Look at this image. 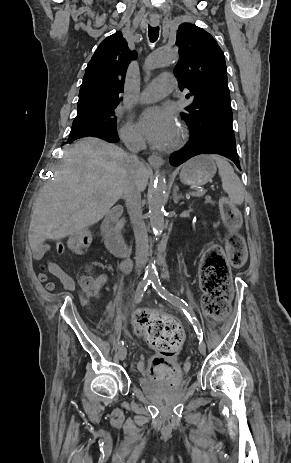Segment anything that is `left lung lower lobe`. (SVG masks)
Returning <instances> with one entry per match:
<instances>
[{
	"label": "left lung lower lobe",
	"instance_id": "1",
	"mask_svg": "<svg viewBox=\"0 0 291 463\" xmlns=\"http://www.w3.org/2000/svg\"><path fill=\"white\" fill-rule=\"evenodd\" d=\"M201 154H216L232 160L241 170L235 139L213 133H190L189 141L183 149L170 157L172 166H179L188 159Z\"/></svg>",
	"mask_w": 291,
	"mask_h": 463
}]
</instances>
